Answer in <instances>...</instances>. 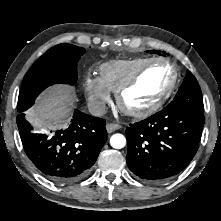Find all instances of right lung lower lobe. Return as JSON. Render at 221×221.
<instances>
[{"label": "right lung lower lobe", "mask_w": 221, "mask_h": 221, "mask_svg": "<svg viewBox=\"0 0 221 221\" xmlns=\"http://www.w3.org/2000/svg\"><path fill=\"white\" fill-rule=\"evenodd\" d=\"M105 125L104 119L75 110L65 130L35 133L23 112L17 116L26 155L43 176L59 184L88 174L108 138Z\"/></svg>", "instance_id": "obj_1"}]
</instances>
